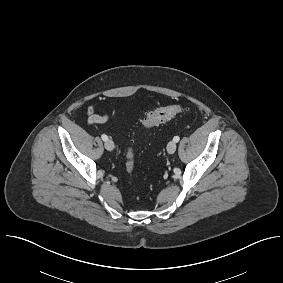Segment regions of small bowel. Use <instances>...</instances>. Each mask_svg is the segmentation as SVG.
<instances>
[{
	"mask_svg": "<svg viewBox=\"0 0 283 283\" xmlns=\"http://www.w3.org/2000/svg\"><path fill=\"white\" fill-rule=\"evenodd\" d=\"M87 122L88 124H102L108 121L109 114H96L94 112L93 106H89L86 110Z\"/></svg>",
	"mask_w": 283,
	"mask_h": 283,
	"instance_id": "1",
	"label": "small bowel"
}]
</instances>
